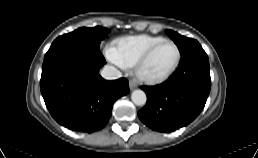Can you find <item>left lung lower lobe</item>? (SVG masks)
<instances>
[{"label":"left lung lower lobe","mask_w":258,"mask_h":158,"mask_svg":"<svg viewBox=\"0 0 258 158\" xmlns=\"http://www.w3.org/2000/svg\"><path fill=\"white\" fill-rule=\"evenodd\" d=\"M146 105L140 120L153 130L170 132L188 125L203 110L211 88L208 56L197 42L182 55L180 65L164 83L141 87Z\"/></svg>","instance_id":"left-lung-lower-lobe-1"}]
</instances>
